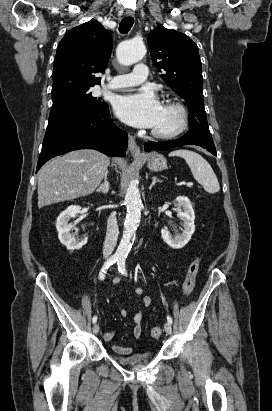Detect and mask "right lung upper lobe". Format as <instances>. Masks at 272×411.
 <instances>
[{
  "label": "right lung upper lobe",
  "instance_id": "obj_1",
  "mask_svg": "<svg viewBox=\"0 0 272 411\" xmlns=\"http://www.w3.org/2000/svg\"><path fill=\"white\" fill-rule=\"evenodd\" d=\"M111 50V35L98 21L72 28L57 48L52 99L100 84V78L94 74L104 72Z\"/></svg>",
  "mask_w": 272,
  "mask_h": 411
}]
</instances>
